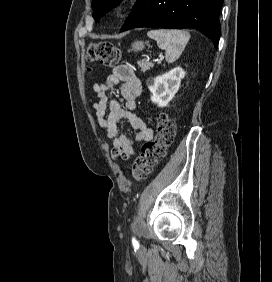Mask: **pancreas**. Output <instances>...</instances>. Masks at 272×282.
<instances>
[{
  "instance_id": "pancreas-1",
  "label": "pancreas",
  "mask_w": 272,
  "mask_h": 282,
  "mask_svg": "<svg viewBox=\"0 0 272 282\" xmlns=\"http://www.w3.org/2000/svg\"><path fill=\"white\" fill-rule=\"evenodd\" d=\"M138 66L141 68L142 72H146L147 70L153 67V64L148 61L142 60L138 61Z\"/></svg>"
}]
</instances>
